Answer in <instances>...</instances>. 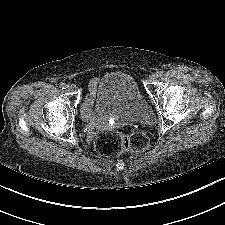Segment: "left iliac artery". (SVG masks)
Wrapping results in <instances>:
<instances>
[{
  "mask_svg": "<svg viewBox=\"0 0 225 225\" xmlns=\"http://www.w3.org/2000/svg\"><path fill=\"white\" fill-rule=\"evenodd\" d=\"M163 74H164V71H158L157 72V77H161V76H163Z\"/></svg>",
  "mask_w": 225,
  "mask_h": 225,
  "instance_id": "obj_1",
  "label": "left iliac artery"
}]
</instances>
